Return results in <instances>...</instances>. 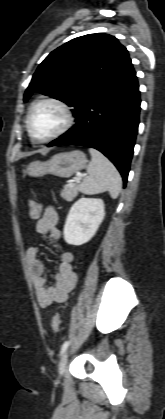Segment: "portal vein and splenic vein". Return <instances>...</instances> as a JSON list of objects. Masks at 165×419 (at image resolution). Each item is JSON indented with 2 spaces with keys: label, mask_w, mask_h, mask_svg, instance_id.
I'll return each mask as SVG.
<instances>
[{
  "label": "portal vein and splenic vein",
  "mask_w": 165,
  "mask_h": 419,
  "mask_svg": "<svg viewBox=\"0 0 165 419\" xmlns=\"http://www.w3.org/2000/svg\"><path fill=\"white\" fill-rule=\"evenodd\" d=\"M80 180H81V177H75L74 180H73V182H77L78 183V182H80ZM70 184H72V183H70Z\"/></svg>",
  "instance_id": "portal-vein-and-splenic-vein-1"
}]
</instances>
